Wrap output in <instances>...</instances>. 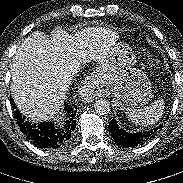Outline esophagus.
Masks as SVG:
<instances>
[{
  "label": "esophagus",
  "instance_id": "34e87169",
  "mask_svg": "<svg viewBox=\"0 0 183 183\" xmlns=\"http://www.w3.org/2000/svg\"><path fill=\"white\" fill-rule=\"evenodd\" d=\"M108 93V89L101 79V75L98 72L92 73L85 80L82 86V97L86 102H92L101 96Z\"/></svg>",
  "mask_w": 183,
  "mask_h": 183
}]
</instances>
